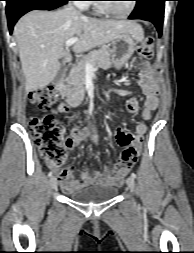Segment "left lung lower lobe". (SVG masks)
<instances>
[{"label": "left lung lower lobe", "instance_id": "1", "mask_svg": "<svg viewBox=\"0 0 194 253\" xmlns=\"http://www.w3.org/2000/svg\"><path fill=\"white\" fill-rule=\"evenodd\" d=\"M137 2L129 19H143L152 22L159 35L162 33L164 18V3L167 0H135Z\"/></svg>", "mask_w": 194, "mask_h": 253}]
</instances>
